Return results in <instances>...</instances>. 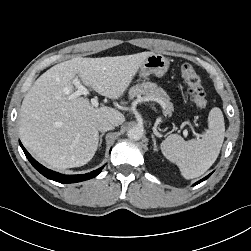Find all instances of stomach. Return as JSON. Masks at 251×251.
I'll list each match as a JSON object with an SVG mask.
<instances>
[{
	"label": "stomach",
	"instance_id": "1",
	"mask_svg": "<svg viewBox=\"0 0 251 251\" xmlns=\"http://www.w3.org/2000/svg\"><path fill=\"white\" fill-rule=\"evenodd\" d=\"M170 62L168 58L162 54L153 53L140 66V77H148L155 74L157 77H162L168 70Z\"/></svg>",
	"mask_w": 251,
	"mask_h": 251
}]
</instances>
